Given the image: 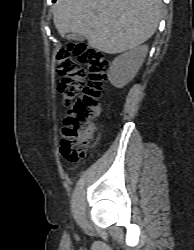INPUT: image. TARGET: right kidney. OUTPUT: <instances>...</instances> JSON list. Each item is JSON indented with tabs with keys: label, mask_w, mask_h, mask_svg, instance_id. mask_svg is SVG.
<instances>
[{
	"label": "right kidney",
	"mask_w": 194,
	"mask_h": 250,
	"mask_svg": "<svg viewBox=\"0 0 194 250\" xmlns=\"http://www.w3.org/2000/svg\"><path fill=\"white\" fill-rule=\"evenodd\" d=\"M148 46L142 45L116 57L108 71V79L116 88L127 85L142 66Z\"/></svg>",
	"instance_id": "1"
}]
</instances>
